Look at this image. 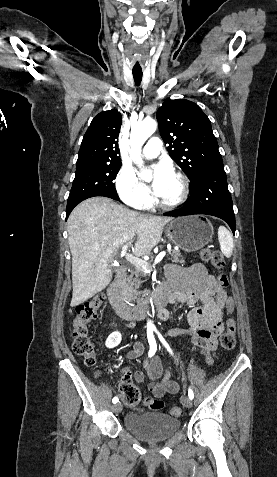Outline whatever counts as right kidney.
Here are the masks:
<instances>
[{"instance_id": "right-kidney-1", "label": "right kidney", "mask_w": 277, "mask_h": 477, "mask_svg": "<svg viewBox=\"0 0 277 477\" xmlns=\"http://www.w3.org/2000/svg\"><path fill=\"white\" fill-rule=\"evenodd\" d=\"M121 340H122L121 333L118 331H115L109 335V337L107 338L105 342V345L107 348L111 349L118 346Z\"/></svg>"}]
</instances>
